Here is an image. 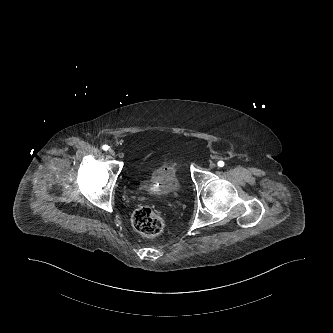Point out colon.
<instances>
[{"label": "colon", "mask_w": 333, "mask_h": 333, "mask_svg": "<svg viewBox=\"0 0 333 333\" xmlns=\"http://www.w3.org/2000/svg\"><path fill=\"white\" fill-rule=\"evenodd\" d=\"M134 229L147 237L161 234L165 228L164 218L149 207H140L132 215Z\"/></svg>", "instance_id": "5ec220e1"}]
</instances>
